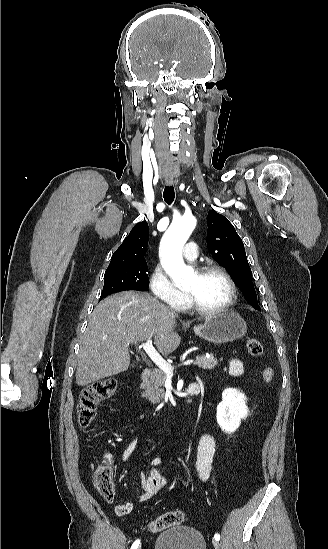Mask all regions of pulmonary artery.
Segmentation results:
<instances>
[{
    "instance_id": "e3ab8cb5",
    "label": "pulmonary artery",
    "mask_w": 328,
    "mask_h": 549,
    "mask_svg": "<svg viewBox=\"0 0 328 549\" xmlns=\"http://www.w3.org/2000/svg\"><path fill=\"white\" fill-rule=\"evenodd\" d=\"M185 248L187 251L183 252V257L188 261L195 260L200 254V249L195 241H188V245Z\"/></svg>"
}]
</instances>
